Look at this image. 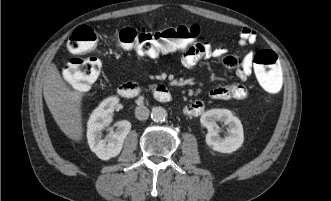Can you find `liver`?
Returning <instances> with one entry per match:
<instances>
[{
  "instance_id": "6515ba94",
  "label": "liver",
  "mask_w": 331,
  "mask_h": 201,
  "mask_svg": "<svg viewBox=\"0 0 331 201\" xmlns=\"http://www.w3.org/2000/svg\"><path fill=\"white\" fill-rule=\"evenodd\" d=\"M43 94L61 131L74 141L82 140L81 97L67 86L54 63H49L45 67Z\"/></svg>"
}]
</instances>
